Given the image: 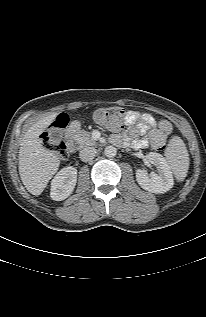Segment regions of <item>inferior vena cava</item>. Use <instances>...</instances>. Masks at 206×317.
Segmentation results:
<instances>
[{
    "mask_svg": "<svg viewBox=\"0 0 206 317\" xmlns=\"http://www.w3.org/2000/svg\"><path fill=\"white\" fill-rule=\"evenodd\" d=\"M96 149L94 147H85L83 148L80 153V159L84 162L91 161L96 156Z\"/></svg>",
    "mask_w": 206,
    "mask_h": 317,
    "instance_id": "1",
    "label": "inferior vena cava"
}]
</instances>
